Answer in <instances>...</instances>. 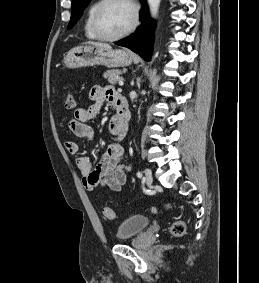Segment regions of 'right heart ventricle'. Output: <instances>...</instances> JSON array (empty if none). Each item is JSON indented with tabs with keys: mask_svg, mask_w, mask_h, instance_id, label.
Returning a JSON list of instances; mask_svg holds the SVG:
<instances>
[{
	"mask_svg": "<svg viewBox=\"0 0 259 283\" xmlns=\"http://www.w3.org/2000/svg\"><path fill=\"white\" fill-rule=\"evenodd\" d=\"M99 0H95L90 7L87 10L85 21H84V34L88 39L95 40L97 39L96 35L94 34L92 30V15L96 8V6L99 4Z\"/></svg>",
	"mask_w": 259,
	"mask_h": 283,
	"instance_id": "obj_1",
	"label": "right heart ventricle"
}]
</instances>
